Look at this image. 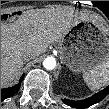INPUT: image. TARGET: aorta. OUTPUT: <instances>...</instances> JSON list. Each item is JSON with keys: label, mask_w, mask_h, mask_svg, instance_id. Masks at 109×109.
<instances>
[{"label": "aorta", "mask_w": 109, "mask_h": 109, "mask_svg": "<svg viewBox=\"0 0 109 109\" xmlns=\"http://www.w3.org/2000/svg\"><path fill=\"white\" fill-rule=\"evenodd\" d=\"M43 66L45 69L52 70L56 66V60L53 57H47L43 61Z\"/></svg>", "instance_id": "aorta-1"}]
</instances>
